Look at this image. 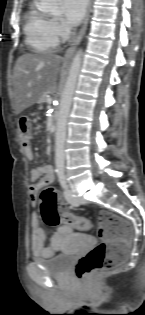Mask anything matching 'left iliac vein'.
Instances as JSON below:
<instances>
[{"label": "left iliac vein", "instance_id": "obj_1", "mask_svg": "<svg viewBox=\"0 0 145 315\" xmlns=\"http://www.w3.org/2000/svg\"><path fill=\"white\" fill-rule=\"evenodd\" d=\"M64 197L70 204L74 206L80 205V200L74 196V193L71 188L65 190Z\"/></svg>", "mask_w": 145, "mask_h": 315}]
</instances>
